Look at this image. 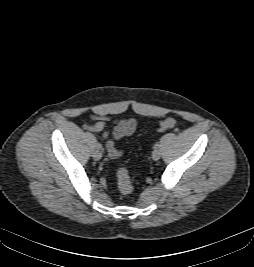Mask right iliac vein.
Returning a JSON list of instances; mask_svg holds the SVG:
<instances>
[{"label":"right iliac vein","mask_w":254,"mask_h":267,"mask_svg":"<svg viewBox=\"0 0 254 267\" xmlns=\"http://www.w3.org/2000/svg\"><path fill=\"white\" fill-rule=\"evenodd\" d=\"M93 158H94V160H100L101 159V157H102V153H101V151L100 150H95L94 152H93Z\"/></svg>","instance_id":"63e3f726"}]
</instances>
